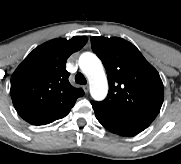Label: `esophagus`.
I'll return each mask as SVG.
<instances>
[{"instance_id":"esophagus-1","label":"esophagus","mask_w":181,"mask_h":164,"mask_svg":"<svg viewBox=\"0 0 181 164\" xmlns=\"http://www.w3.org/2000/svg\"><path fill=\"white\" fill-rule=\"evenodd\" d=\"M83 89H84L85 93H87L88 89H89L88 85H83Z\"/></svg>"}]
</instances>
